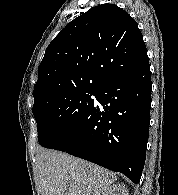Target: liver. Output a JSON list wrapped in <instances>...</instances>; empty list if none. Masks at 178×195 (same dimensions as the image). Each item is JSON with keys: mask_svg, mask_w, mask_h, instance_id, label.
I'll list each match as a JSON object with an SVG mask.
<instances>
[{"mask_svg": "<svg viewBox=\"0 0 178 195\" xmlns=\"http://www.w3.org/2000/svg\"><path fill=\"white\" fill-rule=\"evenodd\" d=\"M41 195H101L115 173L66 153L43 150L37 158Z\"/></svg>", "mask_w": 178, "mask_h": 195, "instance_id": "6515ba94", "label": "liver"}]
</instances>
